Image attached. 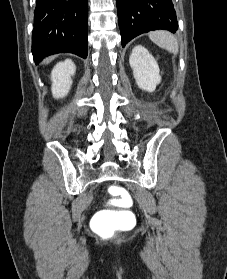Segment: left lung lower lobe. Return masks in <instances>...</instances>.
<instances>
[{"label": "left lung lower lobe", "instance_id": "obj_1", "mask_svg": "<svg viewBox=\"0 0 227 279\" xmlns=\"http://www.w3.org/2000/svg\"><path fill=\"white\" fill-rule=\"evenodd\" d=\"M121 43L151 30L178 29L172 0H116Z\"/></svg>", "mask_w": 227, "mask_h": 279}]
</instances>
